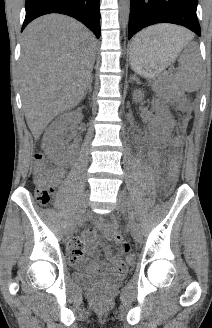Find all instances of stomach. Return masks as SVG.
<instances>
[{"instance_id":"obj_1","label":"stomach","mask_w":212,"mask_h":328,"mask_svg":"<svg viewBox=\"0 0 212 328\" xmlns=\"http://www.w3.org/2000/svg\"><path fill=\"white\" fill-rule=\"evenodd\" d=\"M135 40L131 43L130 61L136 73L147 78H156L181 51L185 44L175 39L160 40L143 49L134 48Z\"/></svg>"}]
</instances>
